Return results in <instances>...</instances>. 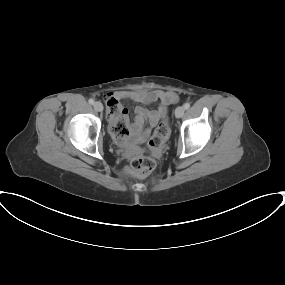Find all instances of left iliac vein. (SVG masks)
<instances>
[{
    "instance_id": "obj_1",
    "label": "left iliac vein",
    "mask_w": 285,
    "mask_h": 285,
    "mask_svg": "<svg viewBox=\"0 0 285 285\" xmlns=\"http://www.w3.org/2000/svg\"><path fill=\"white\" fill-rule=\"evenodd\" d=\"M185 109L183 107H177L175 110V116L181 118L184 115Z\"/></svg>"
}]
</instances>
